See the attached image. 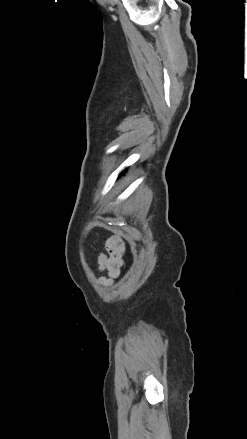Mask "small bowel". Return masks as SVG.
<instances>
[{
	"mask_svg": "<svg viewBox=\"0 0 247 439\" xmlns=\"http://www.w3.org/2000/svg\"><path fill=\"white\" fill-rule=\"evenodd\" d=\"M105 248L108 255L100 253L97 260L99 270L107 272L108 275L107 278L101 279L102 283L110 284L124 267L125 245L121 238L113 236L106 240Z\"/></svg>",
	"mask_w": 247,
	"mask_h": 439,
	"instance_id": "obj_1",
	"label": "small bowel"
}]
</instances>
